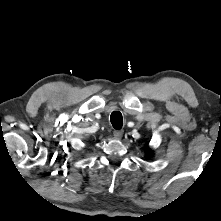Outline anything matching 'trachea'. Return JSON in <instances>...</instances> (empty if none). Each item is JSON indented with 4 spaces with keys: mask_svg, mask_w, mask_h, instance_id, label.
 Here are the masks:
<instances>
[{
    "mask_svg": "<svg viewBox=\"0 0 221 221\" xmlns=\"http://www.w3.org/2000/svg\"><path fill=\"white\" fill-rule=\"evenodd\" d=\"M110 121H111L113 128L118 129V130L122 128L123 119H122V114L120 112L118 111L112 112L110 116Z\"/></svg>",
    "mask_w": 221,
    "mask_h": 221,
    "instance_id": "1",
    "label": "trachea"
}]
</instances>
